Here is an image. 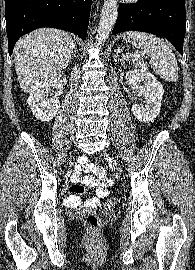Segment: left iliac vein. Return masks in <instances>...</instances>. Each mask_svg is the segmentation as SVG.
I'll return each mask as SVG.
<instances>
[{
	"instance_id": "4c4485c4",
	"label": "left iliac vein",
	"mask_w": 195,
	"mask_h": 270,
	"mask_svg": "<svg viewBox=\"0 0 195 270\" xmlns=\"http://www.w3.org/2000/svg\"><path fill=\"white\" fill-rule=\"evenodd\" d=\"M104 156L106 157V159L108 160V162L110 163L111 167L115 170V172L117 174L122 172L121 167L119 166L117 160L113 157H111L109 154L105 153Z\"/></svg>"
}]
</instances>
